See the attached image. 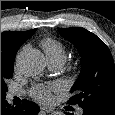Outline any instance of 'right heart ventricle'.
Here are the masks:
<instances>
[{
    "instance_id": "right-heart-ventricle-1",
    "label": "right heart ventricle",
    "mask_w": 115,
    "mask_h": 115,
    "mask_svg": "<svg viewBox=\"0 0 115 115\" xmlns=\"http://www.w3.org/2000/svg\"><path fill=\"white\" fill-rule=\"evenodd\" d=\"M41 46L48 60L60 59L65 62L66 50L60 41L48 37L42 40Z\"/></svg>"
}]
</instances>
